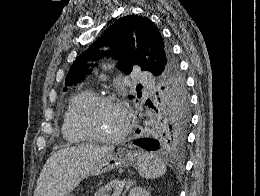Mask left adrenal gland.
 Instances as JSON below:
<instances>
[{"instance_id":"a2214340","label":"left adrenal gland","mask_w":260,"mask_h":196,"mask_svg":"<svg viewBox=\"0 0 260 196\" xmlns=\"http://www.w3.org/2000/svg\"><path fill=\"white\" fill-rule=\"evenodd\" d=\"M134 184H135V182H132V180H127L125 190H124L122 196H126L130 186H134Z\"/></svg>"}]
</instances>
